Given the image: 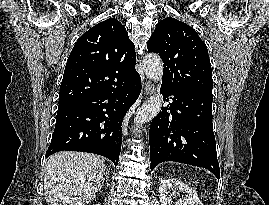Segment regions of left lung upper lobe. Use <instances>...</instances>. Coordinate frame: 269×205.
<instances>
[{"label": "left lung upper lobe", "instance_id": "left-lung-upper-lobe-1", "mask_svg": "<svg viewBox=\"0 0 269 205\" xmlns=\"http://www.w3.org/2000/svg\"><path fill=\"white\" fill-rule=\"evenodd\" d=\"M147 47L158 53L164 63L162 85L181 93L212 94L208 50L193 28L167 17L157 24Z\"/></svg>", "mask_w": 269, "mask_h": 205}]
</instances>
